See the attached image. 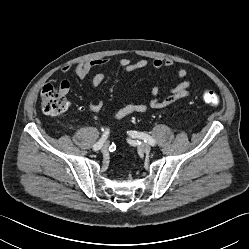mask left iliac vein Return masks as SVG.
Here are the masks:
<instances>
[{
  "mask_svg": "<svg viewBox=\"0 0 249 249\" xmlns=\"http://www.w3.org/2000/svg\"><path fill=\"white\" fill-rule=\"evenodd\" d=\"M140 148L145 153H149L151 151V146L147 143H142Z\"/></svg>",
  "mask_w": 249,
  "mask_h": 249,
  "instance_id": "1",
  "label": "left iliac vein"
}]
</instances>
